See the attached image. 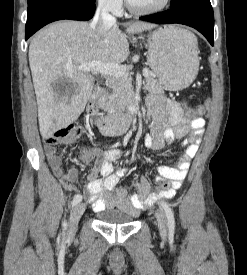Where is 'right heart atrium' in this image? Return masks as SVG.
Returning <instances> with one entry per match:
<instances>
[{
  "instance_id": "1",
  "label": "right heart atrium",
  "mask_w": 247,
  "mask_h": 275,
  "mask_svg": "<svg viewBox=\"0 0 247 275\" xmlns=\"http://www.w3.org/2000/svg\"><path fill=\"white\" fill-rule=\"evenodd\" d=\"M97 4L104 10L117 14L123 8V0H96Z\"/></svg>"
}]
</instances>
